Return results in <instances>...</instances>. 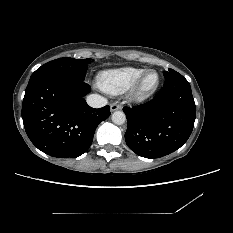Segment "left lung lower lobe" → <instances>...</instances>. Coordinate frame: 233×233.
<instances>
[{"label":"left lung lower lobe","mask_w":233,"mask_h":233,"mask_svg":"<svg viewBox=\"0 0 233 233\" xmlns=\"http://www.w3.org/2000/svg\"><path fill=\"white\" fill-rule=\"evenodd\" d=\"M127 117L125 141L137 155L158 158L179 149L195 121V103L188 81L179 73L165 80L149 102L123 108Z\"/></svg>","instance_id":"0a47b994"}]
</instances>
